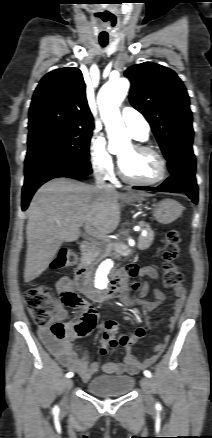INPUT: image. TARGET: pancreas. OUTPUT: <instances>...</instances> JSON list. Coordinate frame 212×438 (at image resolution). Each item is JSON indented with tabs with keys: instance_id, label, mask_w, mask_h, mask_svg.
I'll return each mask as SVG.
<instances>
[{
	"instance_id": "obj_1",
	"label": "pancreas",
	"mask_w": 212,
	"mask_h": 438,
	"mask_svg": "<svg viewBox=\"0 0 212 438\" xmlns=\"http://www.w3.org/2000/svg\"><path fill=\"white\" fill-rule=\"evenodd\" d=\"M154 239V232L147 226V235L139 236L138 238V249L139 250H146L148 249ZM111 249L109 247L105 249H97L94 251L93 255L89 259L90 262L99 261L101 258L106 257L110 255Z\"/></svg>"
}]
</instances>
